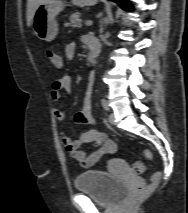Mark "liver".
Here are the masks:
<instances>
[{"label": "liver", "instance_id": "liver-1", "mask_svg": "<svg viewBox=\"0 0 188 213\" xmlns=\"http://www.w3.org/2000/svg\"><path fill=\"white\" fill-rule=\"evenodd\" d=\"M44 0H27V25L31 26L37 6Z\"/></svg>", "mask_w": 188, "mask_h": 213}]
</instances>
